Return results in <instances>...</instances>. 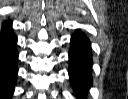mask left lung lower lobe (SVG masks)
<instances>
[{"label": "left lung lower lobe", "instance_id": "left-lung-lower-lobe-1", "mask_svg": "<svg viewBox=\"0 0 128 99\" xmlns=\"http://www.w3.org/2000/svg\"><path fill=\"white\" fill-rule=\"evenodd\" d=\"M91 66V43L82 32L76 31L69 51V77L79 99H85L86 89L92 85Z\"/></svg>", "mask_w": 128, "mask_h": 99}]
</instances>
